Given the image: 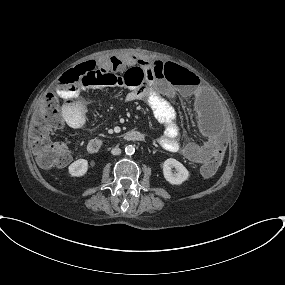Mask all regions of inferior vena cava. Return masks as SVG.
I'll return each mask as SVG.
<instances>
[{
    "mask_svg": "<svg viewBox=\"0 0 285 285\" xmlns=\"http://www.w3.org/2000/svg\"><path fill=\"white\" fill-rule=\"evenodd\" d=\"M111 153H112L113 155H120V154H121V149H120V148H113V149L111 150Z\"/></svg>",
    "mask_w": 285,
    "mask_h": 285,
    "instance_id": "inferior-vena-cava-1",
    "label": "inferior vena cava"
}]
</instances>
